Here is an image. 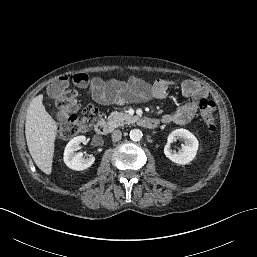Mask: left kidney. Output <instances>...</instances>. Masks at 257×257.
Here are the masks:
<instances>
[{
    "mask_svg": "<svg viewBox=\"0 0 257 257\" xmlns=\"http://www.w3.org/2000/svg\"><path fill=\"white\" fill-rule=\"evenodd\" d=\"M176 139H182L185 143L178 153L170 149V143ZM167 141L168 143L165 145L164 153L172 162L178 165H185L195 158L199 142L190 131L186 129H176L169 134Z\"/></svg>",
    "mask_w": 257,
    "mask_h": 257,
    "instance_id": "obj_1",
    "label": "left kidney"
}]
</instances>
